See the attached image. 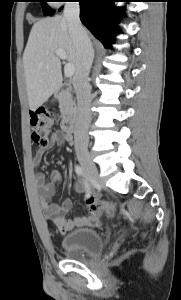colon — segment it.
Instances as JSON below:
<instances>
[{
    "instance_id": "5ec220e1",
    "label": "colon",
    "mask_w": 181,
    "mask_h": 300,
    "mask_svg": "<svg viewBox=\"0 0 181 300\" xmlns=\"http://www.w3.org/2000/svg\"><path fill=\"white\" fill-rule=\"evenodd\" d=\"M56 122L54 113L50 110H37L30 116L32 129V141L38 146H45L52 126ZM91 216L102 219L104 216L112 217L115 214L117 205L112 201L89 199L87 201Z\"/></svg>"
}]
</instances>
